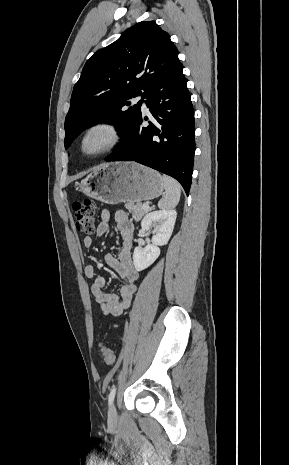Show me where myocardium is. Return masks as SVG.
Returning a JSON list of instances; mask_svg holds the SVG:
<instances>
[{"instance_id":"myocardium-1","label":"myocardium","mask_w":289,"mask_h":465,"mask_svg":"<svg viewBox=\"0 0 289 465\" xmlns=\"http://www.w3.org/2000/svg\"><path fill=\"white\" fill-rule=\"evenodd\" d=\"M97 130L105 131L109 135L108 142L96 151H86L85 150V141L89 137V135ZM123 139L122 131L119 125L110 120L105 118H99L91 121L88 123L85 128L82 130L79 139H78V150L80 154L86 158H95L105 153H108L114 150L116 147L119 146Z\"/></svg>"}]
</instances>
